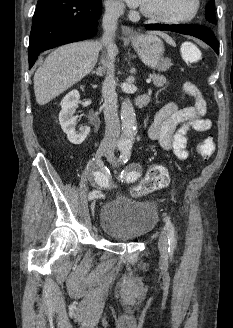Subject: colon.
I'll list each match as a JSON object with an SVG mask.
<instances>
[{"instance_id":"colon-1","label":"colon","mask_w":233,"mask_h":328,"mask_svg":"<svg viewBox=\"0 0 233 328\" xmlns=\"http://www.w3.org/2000/svg\"><path fill=\"white\" fill-rule=\"evenodd\" d=\"M182 54L186 61L196 62L201 59L200 50L192 43L184 44ZM215 149L212 140L207 139L202 141L198 147L197 152L202 160H208ZM169 183V173L162 165H154L146 172L138 185L132 188L133 196L138 197L147 195L153 191L164 188Z\"/></svg>"}]
</instances>
